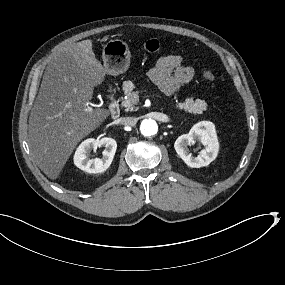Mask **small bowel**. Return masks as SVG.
Here are the masks:
<instances>
[{"label":"small bowel","mask_w":285,"mask_h":285,"mask_svg":"<svg viewBox=\"0 0 285 285\" xmlns=\"http://www.w3.org/2000/svg\"><path fill=\"white\" fill-rule=\"evenodd\" d=\"M148 76L164 94L171 95L192 81L194 69L185 65L181 56L170 54L160 57Z\"/></svg>","instance_id":"obj_1"}]
</instances>
